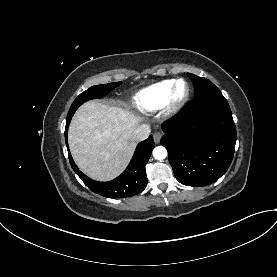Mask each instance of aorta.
Returning a JSON list of instances; mask_svg holds the SVG:
<instances>
[{"instance_id": "obj_1", "label": "aorta", "mask_w": 277, "mask_h": 277, "mask_svg": "<svg viewBox=\"0 0 277 277\" xmlns=\"http://www.w3.org/2000/svg\"><path fill=\"white\" fill-rule=\"evenodd\" d=\"M153 156L157 160H163L167 157V150L163 146L155 147L153 150Z\"/></svg>"}]
</instances>
